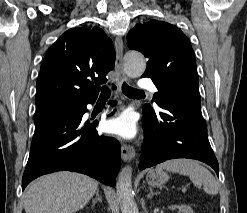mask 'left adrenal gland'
<instances>
[{
  "mask_svg": "<svg viewBox=\"0 0 247 213\" xmlns=\"http://www.w3.org/2000/svg\"><path fill=\"white\" fill-rule=\"evenodd\" d=\"M149 191L150 193L147 195V198H152L154 195L158 194V192H153L152 188L149 187Z\"/></svg>",
  "mask_w": 247,
  "mask_h": 213,
  "instance_id": "1",
  "label": "left adrenal gland"
}]
</instances>
